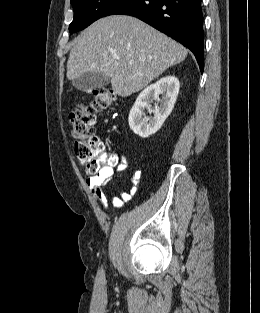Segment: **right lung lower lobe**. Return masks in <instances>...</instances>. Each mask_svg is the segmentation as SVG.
Instances as JSON below:
<instances>
[{
	"label": "right lung lower lobe",
	"mask_w": 260,
	"mask_h": 313,
	"mask_svg": "<svg viewBox=\"0 0 260 313\" xmlns=\"http://www.w3.org/2000/svg\"><path fill=\"white\" fill-rule=\"evenodd\" d=\"M141 19L189 48L204 69V30L201 0H119L105 14Z\"/></svg>",
	"instance_id": "98d812e1"
}]
</instances>
